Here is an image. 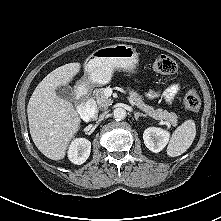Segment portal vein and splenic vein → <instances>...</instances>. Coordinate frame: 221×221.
I'll use <instances>...</instances> for the list:
<instances>
[{
  "label": "portal vein and splenic vein",
  "mask_w": 221,
  "mask_h": 221,
  "mask_svg": "<svg viewBox=\"0 0 221 221\" xmlns=\"http://www.w3.org/2000/svg\"><path fill=\"white\" fill-rule=\"evenodd\" d=\"M112 92H113V89L112 88H106L105 89V95L107 96V97H109V96H111L112 95ZM127 99H128V101L130 102V104L132 105V106H134V102H133V100L131 99V97H127Z\"/></svg>",
  "instance_id": "obj_1"
}]
</instances>
